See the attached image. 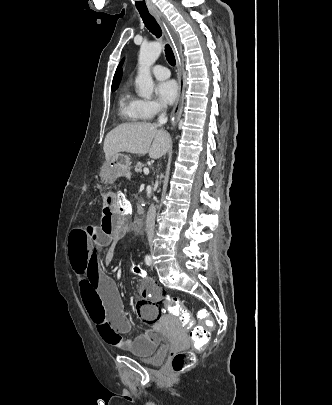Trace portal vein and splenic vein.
<instances>
[{"instance_id": "1", "label": "portal vein and splenic vein", "mask_w": 332, "mask_h": 405, "mask_svg": "<svg viewBox=\"0 0 332 405\" xmlns=\"http://www.w3.org/2000/svg\"><path fill=\"white\" fill-rule=\"evenodd\" d=\"M143 172H144L145 175H148V174H149V169H148V168H144Z\"/></svg>"}]
</instances>
